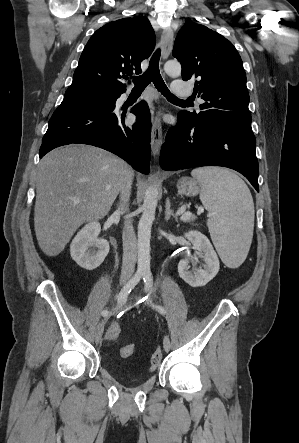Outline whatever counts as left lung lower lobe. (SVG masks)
I'll return each mask as SVG.
<instances>
[{
  "mask_svg": "<svg viewBox=\"0 0 299 443\" xmlns=\"http://www.w3.org/2000/svg\"><path fill=\"white\" fill-rule=\"evenodd\" d=\"M256 140L251 125L238 123L200 124L178 113L160 153L164 170L198 166H224L243 174L259 191Z\"/></svg>",
  "mask_w": 299,
  "mask_h": 443,
  "instance_id": "left-lung-lower-lobe-1",
  "label": "left lung lower lobe"
}]
</instances>
